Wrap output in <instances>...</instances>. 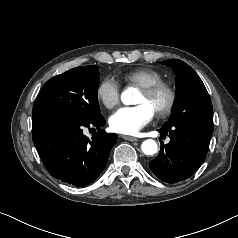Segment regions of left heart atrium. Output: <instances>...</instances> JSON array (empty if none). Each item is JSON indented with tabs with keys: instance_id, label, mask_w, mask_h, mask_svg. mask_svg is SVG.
Listing matches in <instances>:
<instances>
[{
	"instance_id": "left-heart-atrium-1",
	"label": "left heart atrium",
	"mask_w": 238,
	"mask_h": 238,
	"mask_svg": "<svg viewBox=\"0 0 238 238\" xmlns=\"http://www.w3.org/2000/svg\"><path fill=\"white\" fill-rule=\"evenodd\" d=\"M155 110L147 103L119 108L110 117L112 130L122 134H136L152 121Z\"/></svg>"
}]
</instances>
